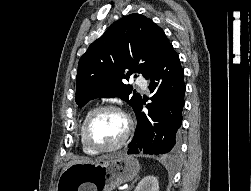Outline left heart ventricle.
Segmentation results:
<instances>
[{"instance_id": "1", "label": "left heart ventricle", "mask_w": 251, "mask_h": 191, "mask_svg": "<svg viewBox=\"0 0 251 191\" xmlns=\"http://www.w3.org/2000/svg\"><path fill=\"white\" fill-rule=\"evenodd\" d=\"M124 132V121L115 112L98 113L89 127L90 141L97 147H109L118 143Z\"/></svg>"}]
</instances>
